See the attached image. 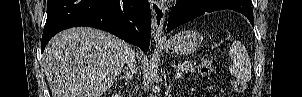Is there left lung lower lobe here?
<instances>
[{
    "label": "left lung lower lobe",
    "instance_id": "obj_1",
    "mask_svg": "<svg viewBox=\"0 0 302 97\" xmlns=\"http://www.w3.org/2000/svg\"><path fill=\"white\" fill-rule=\"evenodd\" d=\"M222 9H230L244 14L254 26L250 0H180L171 11L167 31L200 15Z\"/></svg>",
    "mask_w": 302,
    "mask_h": 97
}]
</instances>
